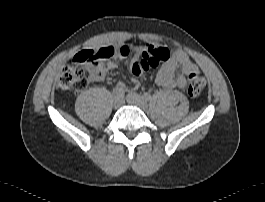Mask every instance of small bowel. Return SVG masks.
<instances>
[{
    "instance_id": "1",
    "label": "small bowel",
    "mask_w": 265,
    "mask_h": 202,
    "mask_svg": "<svg viewBox=\"0 0 265 202\" xmlns=\"http://www.w3.org/2000/svg\"><path fill=\"white\" fill-rule=\"evenodd\" d=\"M113 51V56L99 61V65L88 69V79L90 82H98L104 79L107 72L120 67L121 61L133 53H140L143 47H138L132 43H119L114 46L105 47ZM107 61V62H105ZM193 73H199L198 66L183 51L174 50L169 61L164 63L156 75V83L161 87L185 88L188 77ZM115 88L125 91V84L118 82ZM139 88V83L135 81L132 89Z\"/></svg>"
}]
</instances>
